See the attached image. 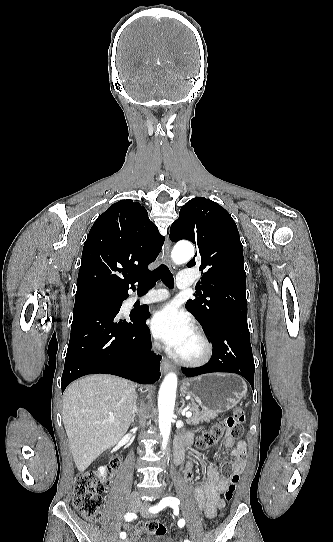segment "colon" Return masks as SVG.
I'll list each match as a JSON object with an SVG mask.
<instances>
[{
    "label": "colon",
    "mask_w": 333,
    "mask_h": 542,
    "mask_svg": "<svg viewBox=\"0 0 333 542\" xmlns=\"http://www.w3.org/2000/svg\"><path fill=\"white\" fill-rule=\"evenodd\" d=\"M244 421V412L241 409L235 410L232 415L224 417L210 430L201 434L197 439L198 447L208 449L216 446L222 439H240L243 434ZM244 465L242 456H236L233 461L224 465L223 471L230 481L229 486L223 492L222 502L224 505L232 499L236 486L240 482ZM117 467L118 463L113 461L106 472L80 474L75 477L72 503L86 519L97 521L101 517L103 494L108 483L110 469ZM143 532L148 536H162L165 533V526L157 520L148 521L143 526Z\"/></svg>",
    "instance_id": "5ec220e1"
}]
</instances>
